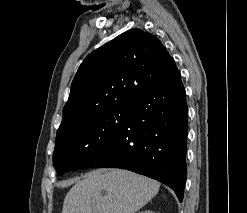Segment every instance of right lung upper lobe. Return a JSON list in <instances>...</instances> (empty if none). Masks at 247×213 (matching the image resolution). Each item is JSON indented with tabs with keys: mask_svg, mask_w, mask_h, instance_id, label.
<instances>
[{
	"mask_svg": "<svg viewBox=\"0 0 247 213\" xmlns=\"http://www.w3.org/2000/svg\"><path fill=\"white\" fill-rule=\"evenodd\" d=\"M178 71L174 59L153 35L131 29L86 57L71 85L57 136Z\"/></svg>",
	"mask_w": 247,
	"mask_h": 213,
	"instance_id": "obj_1",
	"label": "right lung upper lobe"
}]
</instances>
